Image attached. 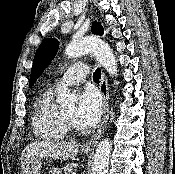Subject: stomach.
Masks as SVG:
<instances>
[{
  "label": "stomach",
  "instance_id": "1",
  "mask_svg": "<svg viewBox=\"0 0 175 174\" xmlns=\"http://www.w3.org/2000/svg\"><path fill=\"white\" fill-rule=\"evenodd\" d=\"M84 153L88 152L84 151ZM41 167H42L41 161L38 158H35L33 160L23 162L21 165V172L22 174H40Z\"/></svg>",
  "mask_w": 175,
  "mask_h": 174
}]
</instances>
